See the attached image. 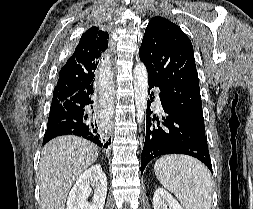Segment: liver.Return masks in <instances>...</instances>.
Masks as SVG:
<instances>
[{
	"instance_id": "6515ba94",
	"label": "liver",
	"mask_w": 253,
	"mask_h": 209,
	"mask_svg": "<svg viewBox=\"0 0 253 209\" xmlns=\"http://www.w3.org/2000/svg\"><path fill=\"white\" fill-rule=\"evenodd\" d=\"M97 157L98 147L78 136H60L48 142L37 175L41 209H64L73 183Z\"/></svg>"
}]
</instances>
